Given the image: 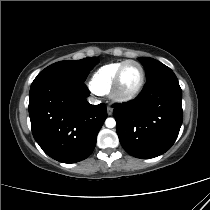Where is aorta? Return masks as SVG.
Here are the masks:
<instances>
[{
    "label": "aorta",
    "mask_w": 210,
    "mask_h": 210,
    "mask_svg": "<svg viewBox=\"0 0 210 210\" xmlns=\"http://www.w3.org/2000/svg\"><path fill=\"white\" fill-rule=\"evenodd\" d=\"M105 125L108 128H113V127L116 126V121H115L114 118H107L106 121H105Z\"/></svg>",
    "instance_id": "1"
}]
</instances>
